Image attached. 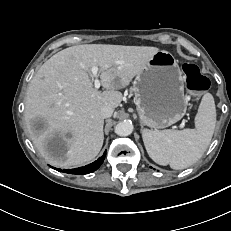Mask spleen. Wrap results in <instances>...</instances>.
I'll list each match as a JSON object with an SVG mask.
<instances>
[{"label": "spleen", "mask_w": 231, "mask_h": 231, "mask_svg": "<svg viewBox=\"0 0 231 231\" xmlns=\"http://www.w3.org/2000/svg\"><path fill=\"white\" fill-rule=\"evenodd\" d=\"M216 123L214 98L206 93L195 117V129L142 131L150 158L160 165L185 169L198 161L212 139Z\"/></svg>", "instance_id": "3e777b00"}]
</instances>
